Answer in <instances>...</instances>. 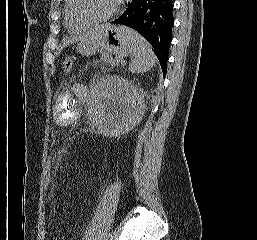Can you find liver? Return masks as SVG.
<instances>
[{
  "label": "liver",
  "instance_id": "6515ba94",
  "mask_svg": "<svg viewBox=\"0 0 257 240\" xmlns=\"http://www.w3.org/2000/svg\"><path fill=\"white\" fill-rule=\"evenodd\" d=\"M104 27V25H98L96 26L93 30H90L88 33L86 34H83V35H78V36H72V37H69V38H66L62 45H61V49L65 48L66 46L70 45V44H73L75 42H78V41H85L86 39L90 38V37H93V36H96L98 35V33L101 31V29Z\"/></svg>",
  "mask_w": 257,
  "mask_h": 240
}]
</instances>
